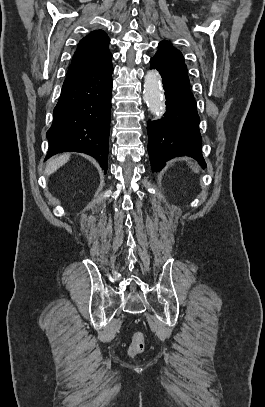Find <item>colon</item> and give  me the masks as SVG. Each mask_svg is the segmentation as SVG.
Returning <instances> with one entry per match:
<instances>
[{"label":"colon","mask_w":265,"mask_h":407,"mask_svg":"<svg viewBox=\"0 0 265 407\" xmlns=\"http://www.w3.org/2000/svg\"><path fill=\"white\" fill-rule=\"evenodd\" d=\"M145 336L141 331H136L132 336V341L128 352L131 356L139 355L145 350Z\"/></svg>","instance_id":"obj_1"}]
</instances>
